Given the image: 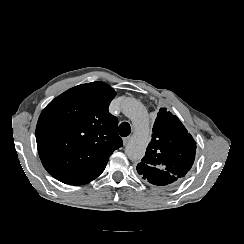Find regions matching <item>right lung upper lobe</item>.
<instances>
[{
    "instance_id": "cb5924a9",
    "label": "right lung upper lobe",
    "mask_w": 244,
    "mask_h": 244,
    "mask_svg": "<svg viewBox=\"0 0 244 244\" xmlns=\"http://www.w3.org/2000/svg\"><path fill=\"white\" fill-rule=\"evenodd\" d=\"M116 92L104 82L78 85L52 100L36 126L45 169L57 180L81 185L98 177L120 148L118 120L108 107Z\"/></svg>"
}]
</instances>
